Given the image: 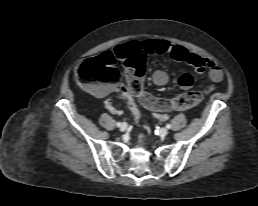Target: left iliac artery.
Wrapping results in <instances>:
<instances>
[{
  "label": "left iliac artery",
  "instance_id": "44dca946",
  "mask_svg": "<svg viewBox=\"0 0 258 206\" xmlns=\"http://www.w3.org/2000/svg\"><path fill=\"white\" fill-rule=\"evenodd\" d=\"M166 128L170 129V128H171V125H170V124H167V125H166Z\"/></svg>",
  "mask_w": 258,
  "mask_h": 206
}]
</instances>
